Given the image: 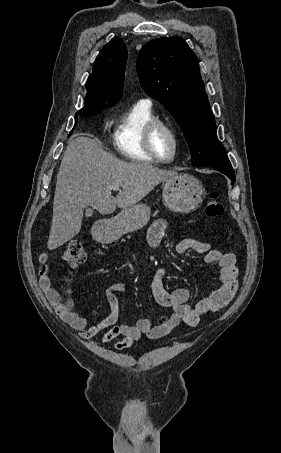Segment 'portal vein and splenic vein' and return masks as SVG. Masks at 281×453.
Listing matches in <instances>:
<instances>
[{"label":"portal vein and splenic vein","mask_w":281,"mask_h":453,"mask_svg":"<svg viewBox=\"0 0 281 453\" xmlns=\"http://www.w3.org/2000/svg\"><path fill=\"white\" fill-rule=\"evenodd\" d=\"M113 190H119L120 186H118V184H116V186H112Z\"/></svg>","instance_id":"obj_1"}]
</instances>
